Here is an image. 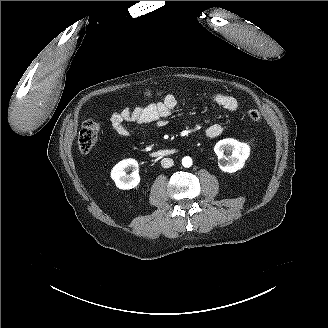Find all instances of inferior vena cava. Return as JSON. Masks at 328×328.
I'll list each match as a JSON object with an SVG mask.
<instances>
[{
	"label": "inferior vena cava",
	"mask_w": 328,
	"mask_h": 328,
	"mask_svg": "<svg viewBox=\"0 0 328 328\" xmlns=\"http://www.w3.org/2000/svg\"><path fill=\"white\" fill-rule=\"evenodd\" d=\"M174 165V162L171 158H164L161 160V166L163 168H170Z\"/></svg>",
	"instance_id": "602c4592"
}]
</instances>
